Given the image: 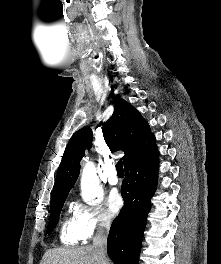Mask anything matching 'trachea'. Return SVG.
Instances as JSON below:
<instances>
[{"instance_id": "1", "label": "trachea", "mask_w": 221, "mask_h": 264, "mask_svg": "<svg viewBox=\"0 0 221 264\" xmlns=\"http://www.w3.org/2000/svg\"><path fill=\"white\" fill-rule=\"evenodd\" d=\"M116 170H117V174H118V175H124L123 162H122V161H119V162L116 164Z\"/></svg>"}]
</instances>
